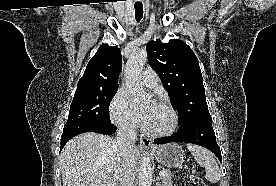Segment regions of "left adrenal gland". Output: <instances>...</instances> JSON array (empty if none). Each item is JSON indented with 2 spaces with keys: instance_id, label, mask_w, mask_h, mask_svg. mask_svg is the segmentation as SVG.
I'll use <instances>...</instances> for the list:
<instances>
[{
  "instance_id": "a2214340",
  "label": "left adrenal gland",
  "mask_w": 276,
  "mask_h": 186,
  "mask_svg": "<svg viewBox=\"0 0 276 186\" xmlns=\"http://www.w3.org/2000/svg\"><path fill=\"white\" fill-rule=\"evenodd\" d=\"M156 186H162V184L159 182V177L156 179Z\"/></svg>"
}]
</instances>
